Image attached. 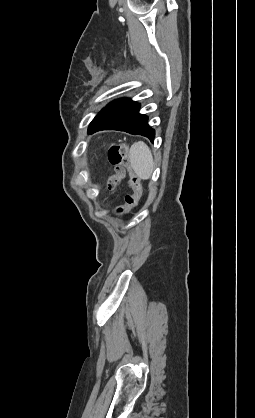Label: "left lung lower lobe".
Returning a JSON list of instances; mask_svg holds the SVG:
<instances>
[{
    "label": "left lung lower lobe",
    "mask_w": 255,
    "mask_h": 418,
    "mask_svg": "<svg viewBox=\"0 0 255 418\" xmlns=\"http://www.w3.org/2000/svg\"><path fill=\"white\" fill-rule=\"evenodd\" d=\"M140 105L126 98L108 104L89 125L88 133L99 130H120L142 135L153 142L155 131L147 124L148 117L139 113Z\"/></svg>",
    "instance_id": "obj_1"
}]
</instances>
